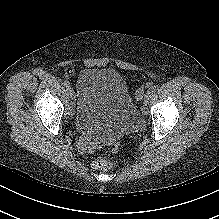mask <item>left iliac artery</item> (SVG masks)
Masks as SVG:
<instances>
[{
    "instance_id": "44dca946",
    "label": "left iliac artery",
    "mask_w": 219,
    "mask_h": 219,
    "mask_svg": "<svg viewBox=\"0 0 219 219\" xmlns=\"http://www.w3.org/2000/svg\"><path fill=\"white\" fill-rule=\"evenodd\" d=\"M149 89L147 91L148 94H153L155 91H156V86L155 85H151V86H148Z\"/></svg>"
}]
</instances>
